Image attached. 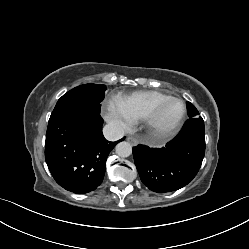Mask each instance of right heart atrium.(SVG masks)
I'll use <instances>...</instances> for the list:
<instances>
[{
	"instance_id": "d8ad5b80",
	"label": "right heart atrium",
	"mask_w": 249,
	"mask_h": 249,
	"mask_svg": "<svg viewBox=\"0 0 249 249\" xmlns=\"http://www.w3.org/2000/svg\"><path fill=\"white\" fill-rule=\"evenodd\" d=\"M104 117L110 124L121 131L128 130L135 121L117 101H109L104 106Z\"/></svg>"
}]
</instances>
